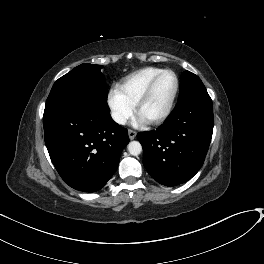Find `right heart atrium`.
I'll return each mask as SVG.
<instances>
[{"mask_svg":"<svg viewBox=\"0 0 264 264\" xmlns=\"http://www.w3.org/2000/svg\"><path fill=\"white\" fill-rule=\"evenodd\" d=\"M108 104L114 121L121 125L125 124L135 111V105L118 88L109 92Z\"/></svg>","mask_w":264,"mask_h":264,"instance_id":"1","label":"right heart atrium"}]
</instances>
